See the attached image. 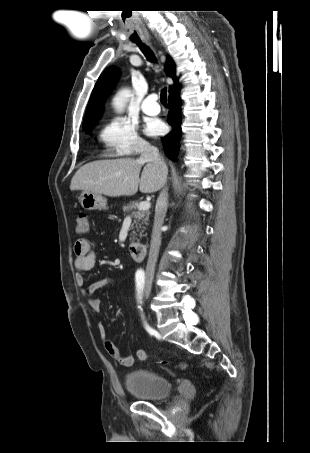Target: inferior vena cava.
Listing matches in <instances>:
<instances>
[{"label": "inferior vena cava", "mask_w": 310, "mask_h": 453, "mask_svg": "<svg viewBox=\"0 0 310 453\" xmlns=\"http://www.w3.org/2000/svg\"><path fill=\"white\" fill-rule=\"evenodd\" d=\"M139 160L142 162H152L155 165L161 166L164 170L167 171L166 163L160 155L159 150L156 147L151 146L149 143H144L141 146V156ZM164 185L156 202L149 257L146 266L147 278H152L154 276L155 265L161 245V227L164 222L168 204V189Z\"/></svg>", "instance_id": "inferior-vena-cava-1"}]
</instances>
